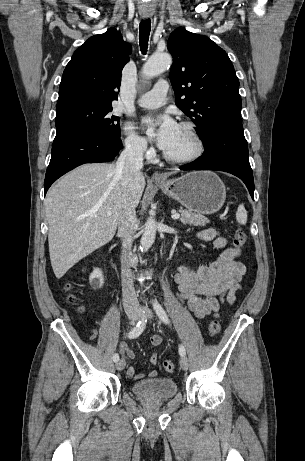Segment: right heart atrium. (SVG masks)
<instances>
[{"label":"right heart atrium","instance_id":"right-heart-atrium-1","mask_svg":"<svg viewBox=\"0 0 305 461\" xmlns=\"http://www.w3.org/2000/svg\"><path fill=\"white\" fill-rule=\"evenodd\" d=\"M124 131V145L126 150L136 156L142 157L151 153V148L145 138L140 136L134 129V127L126 123L123 127Z\"/></svg>","mask_w":305,"mask_h":461}]
</instances>
